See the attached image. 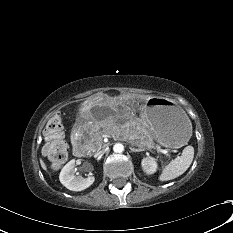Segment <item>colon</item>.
I'll return each mask as SVG.
<instances>
[{
  "instance_id": "colon-1",
  "label": "colon",
  "mask_w": 233,
  "mask_h": 233,
  "mask_svg": "<svg viewBox=\"0 0 233 233\" xmlns=\"http://www.w3.org/2000/svg\"><path fill=\"white\" fill-rule=\"evenodd\" d=\"M44 133L46 137L44 154L53 166L62 165L67 158V145L63 139L62 121L58 114L48 121Z\"/></svg>"
}]
</instances>
